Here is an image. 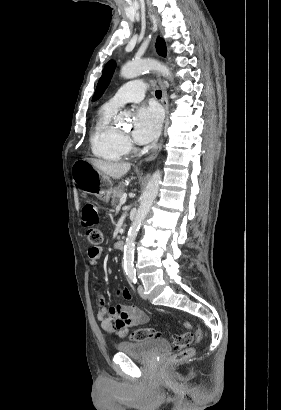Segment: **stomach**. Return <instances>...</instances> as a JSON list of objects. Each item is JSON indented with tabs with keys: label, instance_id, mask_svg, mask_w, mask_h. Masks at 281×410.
I'll return each instance as SVG.
<instances>
[{
	"label": "stomach",
	"instance_id": "stomach-1",
	"mask_svg": "<svg viewBox=\"0 0 281 410\" xmlns=\"http://www.w3.org/2000/svg\"><path fill=\"white\" fill-rule=\"evenodd\" d=\"M73 182L87 192L95 193L98 198L108 202L112 191V182L108 176L97 170L87 159H80L72 166Z\"/></svg>",
	"mask_w": 281,
	"mask_h": 410
}]
</instances>
